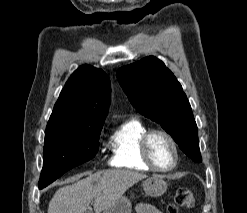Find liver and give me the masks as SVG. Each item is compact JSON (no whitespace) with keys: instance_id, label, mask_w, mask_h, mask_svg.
<instances>
[{"instance_id":"obj_1","label":"liver","mask_w":247,"mask_h":213,"mask_svg":"<svg viewBox=\"0 0 247 213\" xmlns=\"http://www.w3.org/2000/svg\"><path fill=\"white\" fill-rule=\"evenodd\" d=\"M130 170H104L59 188L49 202L48 213H85L94 200L95 213L115 204L128 188L146 178Z\"/></svg>"}]
</instances>
